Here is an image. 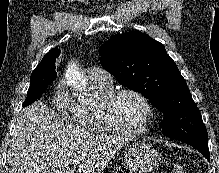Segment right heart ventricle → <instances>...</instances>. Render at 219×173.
Listing matches in <instances>:
<instances>
[{
	"label": "right heart ventricle",
	"mask_w": 219,
	"mask_h": 173,
	"mask_svg": "<svg viewBox=\"0 0 219 173\" xmlns=\"http://www.w3.org/2000/svg\"><path fill=\"white\" fill-rule=\"evenodd\" d=\"M92 90L96 97V101L90 104L76 105V118L77 123L96 133H114L105 122L101 112V101L113 89L112 83L103 84L99 82H91Z\"/></svg>",
	"instance_id": "right-heart-ventricle-1"
}]
</instances>
